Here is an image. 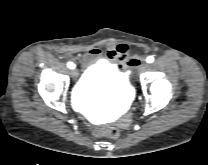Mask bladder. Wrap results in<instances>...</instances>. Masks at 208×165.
Returning <instances> with one entry per match:
<instances>
[{
	"mask_svg": "<svg viewBox=\"0 0 208 165\" xmlns=\"http://www.w3.org/2000/svg\"><path fill=\"white\" fill-rule=\"evenodd\" d=\"M132 95L133 86L128 75L106 61H99L87 69L74 94L83 108L128 102ZM94 98L99 101L94 102Z\"/></svg>",
	"mask_w": 208,
	"mask_h": 165,
	"instance_id": "obj_1",
	"label": "bladder"
}]
</instances>
